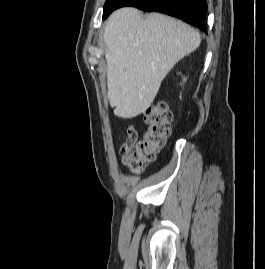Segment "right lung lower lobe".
<instances>
[{
    "label": "right lung lower lobe",
    "instance_id": "1",
    "mask_svg": "<svg viewBox=\"0 0 265 269\" xmlns=\"http://www.w3.org/2000/svg\"><path fill=\"white\" fill-rule=\"evenodd\" d=\"M123 6H134L148 12L165 13L207 32L205 23L206 0H115L103 18L106 19L111 12Z\"/></svg>",
    "mask_w": 265,
    "mask_h": 269
}]
</instances>
